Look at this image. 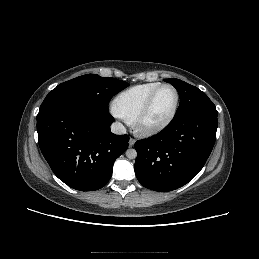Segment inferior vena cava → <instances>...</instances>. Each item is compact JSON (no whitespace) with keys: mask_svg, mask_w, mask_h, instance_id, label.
Instances as JSON below:
<instances>
[{"mask_svg":"<svg viewBox=\"0 0 259 259\" xmlns=\"http://www.w3.org/2000/svg\"><path fill=\"white\" fill-rule=\"evenodd\" d=\"M111 132L114 134L122 135L126 133V129L120 122H114L111 125Z\"/></svg>","mask_w":259,"mask_h":259,"instance_id":"obj_1","label":"inferior vena cava"}]
</instances>
